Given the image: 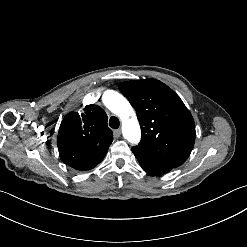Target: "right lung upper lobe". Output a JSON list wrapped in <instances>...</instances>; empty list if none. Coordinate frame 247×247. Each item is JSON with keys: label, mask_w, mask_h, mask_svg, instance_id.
I'll return each instance as SVG.
<instances>
[{"label": "right lung upper lobe", "mask_w": 247, "mask_h": 247, "mask_svg": "<svg viewBox=\"0 0 247 247\" xmlns=\"http://www.w3.org/2000/svg\"><path fill=\"white\" fill-rule=\"evenodd\" d=\"M107 120L105 111L97 105H87L81 115L67 114L57 138L61 160L79 171L91 170L99 164L113 141Z\"/></svg>", "instance_id": "right-lung-upper-lobe-1"}]
</instances>
